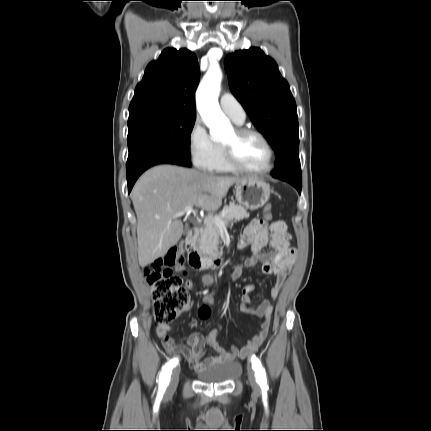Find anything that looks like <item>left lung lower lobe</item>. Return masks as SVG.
Returning <instances> with one entry per match:
<instances>
[{
  "label": "left lung lower lobe",
  "mask_w": 431,
  "mask_h": 431,
  "mask_svg": "<svg viewBox=\"0 0 431 431\" xmlns=\"http://www.w3.org/2000/svg\"><path fill=\"white\" fill-rule=\"evenodd\" d=\"M275 178H279L283 181H286L288 183H290L291 185H293L297 191L299 192V194L301 193V187H302V179L301 177H294V176H288V175H280L277 176Z\"/></svg>",
  "instance_id": "1"
}]
</instances>
